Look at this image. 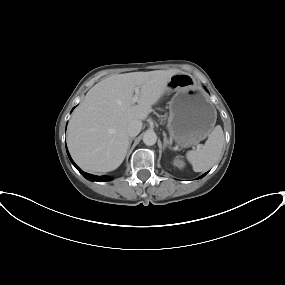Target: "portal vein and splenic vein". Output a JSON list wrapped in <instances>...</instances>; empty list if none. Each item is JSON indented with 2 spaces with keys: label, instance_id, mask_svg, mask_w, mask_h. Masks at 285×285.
Masks as SVG:
<instances>
[{
  "label": "portal vein and splenic vein",
  "instance_id": "18ae733b",
  "mask_svg": "<svg viewBox=\"0 0 285 285\" xmlns=\"http://www.w3.org/2000/svg\"><path fill=\"white\" fill-rule=\"evenodd\" d=\"M139 95H140L139 87H136V88H135V95H134L133 98H132V103H133V104L138 101Z\"/></svg>",
  "mask_w": 285,
  "mask_h": 285
}]
</instances>
